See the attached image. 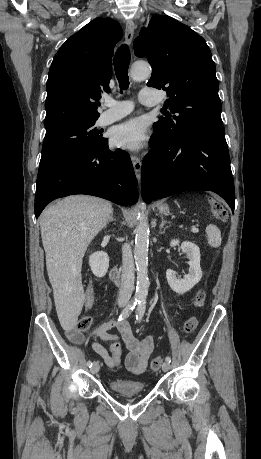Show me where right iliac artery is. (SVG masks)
Here are the masks:
<instances>
[{
    "label": "right iliac artery",
    "mask_w": 261,
    "mask_h": 459,
    "mask_svg": "<svg viewBox=\"0 0 261 459\" xmlns=\"http://www.w3.org/2000/svg\"><path fill=\"white\" fill-rule=\"evenodd\" d=\"M138 303V300H132L124 309L123 311L121 312L118 320L121 321L127 317H129V315L131 314V312L134 310L135 306L137 305ZM93 363L92 361H88L87 362V366L89 367H92Z\"/></svg>",
    "instance_id": "1"
}]
</instances>
